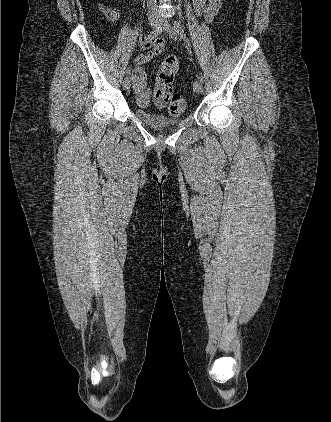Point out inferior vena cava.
<instances>
[{"mask_svg":"<svg viewBox=\"0 0 331 422\" xmlns=\"http://www.w3.org/2000/svg\"><path fill=\"white\" fill-rule=\"evenodd\" d=\"M148 3H149L150 9H155L156 4H157V0H148Z\"/></svg>","mask_w":331,"mask_h":422,"instance_id":"602c4592","label":"inferior vena cava"}]
</instances>
